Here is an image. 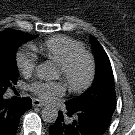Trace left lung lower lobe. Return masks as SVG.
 Returning a JSON list of instances; mask_svg holds the SVG:
<instances>
[{
	"label": "left lung lower lobe",
	"mask_w": 135,
	"mask_h": 135,
	"mask_svg": "<svg viewBox=\"0 0 135 135\" xmlns=\"http://www.w3.org/2000/svg\"><path fill=\"white\" fill-rule=\"evenodd\" d=\"M66 106L67 115H74L75 119L67 123L63 113L59 112L55 124L50 126V135H103L115 110L109 105L74 108Z\"/></svg>",
	"instance_id": "obj_1"
}]
</instances>
